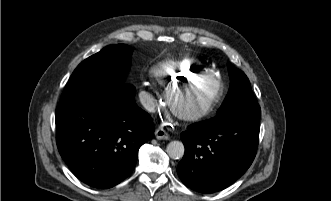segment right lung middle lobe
Masks as SVG:
<instances>
[{
	"label": "right lung middle lobe",
	"mask_w": 331,
	"mask_h": 201,
	"mask_svg": "<svg viewBox=\"0 0 331 201\" xmlns=\"http://www.w3.org/2000/svg\"><path fill=\"white\" fill-rule=\"evenodd\" d=\"M132 48L125 44L109 45L85 59L74 70L61 96L69 102L86 93L110 86L127 84Z\"/></svg>",
	"instance_id": "dd1d6c3e"
}]
</instances>
